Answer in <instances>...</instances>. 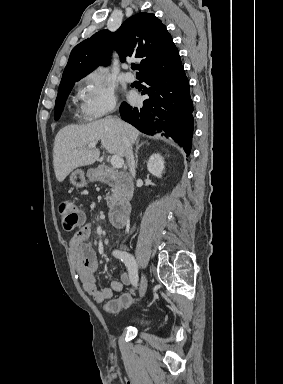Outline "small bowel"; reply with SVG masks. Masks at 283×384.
<instances>
[{"instance_id": "obj_1", "label": "small bowel", "mask_w": 283, "mask_h": 384, "mask_svg": "<svg viewBox=\"0 0 283 384\" xmlns=\"http://www.w3.org/2000/svg\"><path fill=\"white\" fill-rule=\"evenodd\" d=\"M92 224L83 225L69 242V251L78 278L82 282L84 291L96 302H109L115 293L121 292L123 288L131 284L127 271L120 274L118 280H112L108 287H100L97 284L95 273L99 268L97 252L90 242Z\"/></svg>"}]
</instances>
